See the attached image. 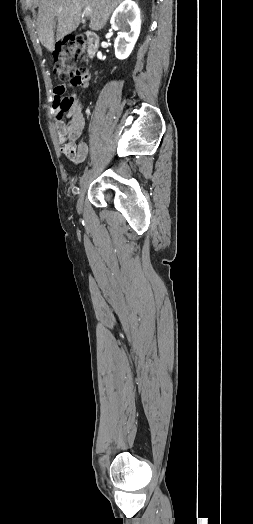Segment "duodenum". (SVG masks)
<instances>
[{"label": "duodenum", "instance_id": "duodenum-1", "mask_svg": "<svg viewBox=\"0 0 253 524\" xmlns=\"http://www.w3.org/2000/svg\"><path fill=\"white\" fill-rule=\"evenodd\" d=\"M86 36L89 43L88 56L93 57L98 48L99 37L95 32L92 31L87 32Z\"/></svg>", "mask_w": 253, "mask_h": 524}]
</instances>
